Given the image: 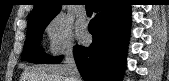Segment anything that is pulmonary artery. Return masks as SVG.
Instances as JSON below:
<instances>
[{"mask_svg": "<svg viewBox=\"0 0 169 81\" xmlns=\"http://www.w3.org/2000/svg\"><path fill=\"white\" fill-rule=\"evenodd\" d=\"M77 14L79 16H84L86 14V10L83 8L78 9Z\"/></svg>", "mask_w": 169, "mask_h": 81, "instance_id": "pulmonary-artery-1", "label": "pulmonary artery"}]
</instances>
